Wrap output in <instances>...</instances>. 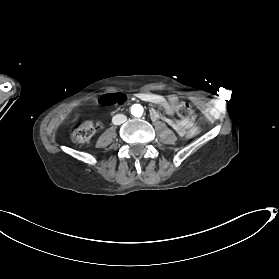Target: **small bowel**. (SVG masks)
Instances as JSON below:
<instances>
[{
    "mask_svg": "<svg viewBox=\"0 0 279 279\" xmlns=\"http://www.w3.org/2000/svg\"><path fill=\"white\" fill-rule=\"evenodd\" d=\"M138 97L144 101L153 103L161 107L167 114L163 119L179 134L180 136L185 135L187 130L192 127L193 123L189 120H179L173 118L174 109L178 104V98L174 95H170L167 98L155 94L152 92H144L138 94ZM150 116L153 120L161 118V115L154 109L150 111Z\"/></svg>",
    "mask_w": 279,
    "mask_h": 279,
    "instance_id": "1",
    "label": "small bowel"
}]
</instances>
